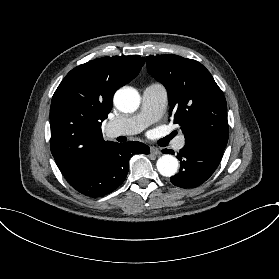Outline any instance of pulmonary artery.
I'll return each instance as SVG.
<instances>
[{
    "mask_svg": "<svg viewBox=\"0 0 279 279\" xmlns=\"http://www.w3.org/2000/svg\"><path fill=\"white\" fill-rule=\"evenodd\" d=\"M168 102V92L161 82L148 85L142 94L141 111L136 115H118L112 121L109 136H136L151 123L157 121L165 112ZM184 136L176 141L177 148H182Z\"/></svg>",
    "mask_w": 279,
    "mask_h": 279,
    "instance_id": "1",
    "label": "pulmonary artery"
}]
</instances>
